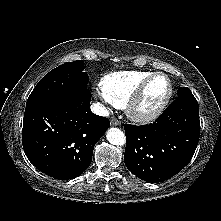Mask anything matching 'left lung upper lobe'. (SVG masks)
<instances>
[{"label":"left lung upper lobe","instance_id":"5c2ea615","mask_svg":"<svg viewBox=\"0 0 221 221\" xmlns=\"http://www.w3.org/2000/svg\"><path fill=\"white\" fill-rule=\"evenodd\" d=\"M181 96H193V94L189 88L184 87V88H179L178 90V97Z\"/></svg>","mask_w":221,"mask_h":221}]
</instances>
